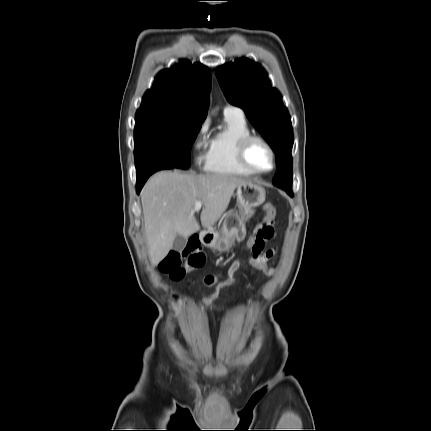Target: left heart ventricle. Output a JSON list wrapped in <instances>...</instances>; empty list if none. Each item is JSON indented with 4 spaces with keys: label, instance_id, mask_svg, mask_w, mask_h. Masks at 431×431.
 <instances>
[{
    "label": "left heart ventricle",
    "instance_id": "obj_1",
    "mask_svg": "<svg viewBox=\"0 0 431 431\" xmlns=\"http://www.w3.org/2000/svg\"><path fill=\"white\" fill-rule=\"evenodd\" d=\"M248 161L260 170H268L272 165V158L266 146L259 142L254 141L250 144L247 151Z\"/></svg>",
    "mask_w": 431,
    "mask_h": 431
}]
</instances>
